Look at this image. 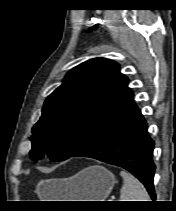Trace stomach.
I'll return each instance as SVG.
<instances>
[{"label": "stomach", "instance_id": "obj_1", "mask_svg": "<svg viewBox=\"0 0 176 211\" xmlns=\"http://www.w3.org/2000/svg\"><path fill=\"white\" fill-rule=\"evenodd\" d=\"M114 174L102 166H90L69 179L40 183V193L51 201H105L112 191Z\"/></svg>", "mask_w": 176, "mask_h": 211}]
</instances>
